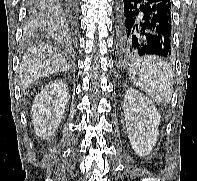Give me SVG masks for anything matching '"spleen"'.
Returning <instances> with one entry per match:
<instances>
[{
	"instance_id": "3e777b00",
	"label": "spleen",
	"mask_w": 197,
	"mask_h": 181,
	"mask_svg": "<svg viewBox=\"0 0 197 181\" xmlns=\"http://www.w3.org/2000/svg\"><path fill=\"white\" fill-rule=\"evenodd\" d=\"M132 82L157 103L171 101L173 75L171 67L162 59L151 56L137 59L129 67Z\"/></svg>"
}]
</instances>
